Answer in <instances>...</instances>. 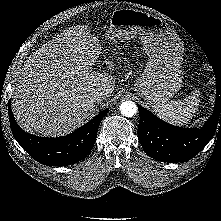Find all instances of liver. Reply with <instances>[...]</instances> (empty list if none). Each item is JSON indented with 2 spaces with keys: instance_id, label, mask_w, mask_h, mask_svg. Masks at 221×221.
<instances>
[{
  "instance_id": "6515ba94",
  "label": "liver",
  "mask_w": 221,
  "mask_h": 221,
  "mask_svg": "<svg viewBox=\"0 0 221 221\" xmlns=\"http://www.w3.org/2000/svg\"><path fill=\"white\" fill-rule=\"evenodd\" d=\"M100 50L88 27L76 25L33 52L13 89L17 123L26 132L51 137L83 125L95 110L92 93L104 91L108 98L115 88L111 74L91 71Z\"/></svg>"
}]
</instances>
